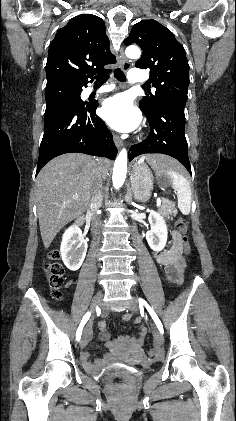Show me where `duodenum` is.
I'll return each instance as SVG.
<instances>
[{
	"mask_svg": "<svg viewBox=\"0 0 236 421\" xmlns=\"http://www.w3.org/2000/svg\"><path fill=\"white\" fill-rule=\"evenodd\" d=\"M84 221V217H79L75 221V226H80ZM157 261L165 267L166 275L170 281H176L183 270L184 263L180 256V251L172 246L169 250L161 253H156ZM113 358L112 355H107L104 359L97 360L95 363L89 362V357L82 356V363L84 367L91 373L99 372L108 362Z\"/></svg>",
	"mask_w": 236,
	"mask_h": 421,
	"instance_id": "obj_1",
	"label": "duodenum"
}]
</instances>
